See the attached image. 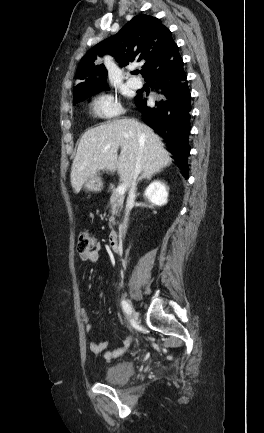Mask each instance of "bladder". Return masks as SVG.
I'll list each match as a JSON object with an SVG mask.
<instances>
[{"label": "bladder", "instance_id": "obj_1", "mask_svg": "<svg viewBox=\"0 0 264 433\" xmlns=\"http://www.w3.org/2000/svg\"><path fill=\"white\" fill-rule=\"evenodd\" d=\"M133 374V365L125 362L107 368L103 373V380L107 384H124Z\"/></svg>", "mask_w": 264, "mask_h": 433}]
</instances>
